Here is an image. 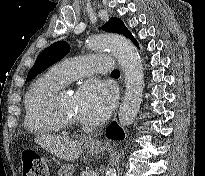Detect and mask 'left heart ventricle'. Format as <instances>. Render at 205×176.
Segmentation results:
<instances>
[{"label":"left heart ventricle","instance_id":"obj_1","mask_svg":"<svg viewBox=\"0 0 205 176\" xmlns=\"http://www.w3.org/2000/svg\"><path fill=\"white\" fill-rule=\"evenodd\" d=\"M61 106L66 114L75 118L78 121L82 119L79 117L76 110V97L73 94L64 92L61 97Z\"/></svg>","mask_w":205,"mask_h":176}]
</instances>
